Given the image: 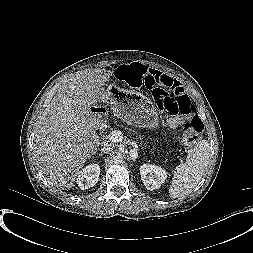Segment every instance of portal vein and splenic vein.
<instances>
[{"mask_svg":"<svg viewBox=\"0 0 253 253\" xmlns=\"http://www.w3.org/2000/svg\"><path fill=\"white\" fill-rule=\"evenodd\" d=\"M109 139L113 142H119L122 140L123 136L120 131L114 130L109 134Z\"/></svg>","mask_w":253,"mask_h":253,"instance_id":"obj_1","label":"portal vein and splenic vein"}]
</instances>
